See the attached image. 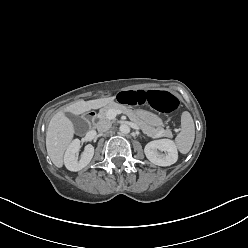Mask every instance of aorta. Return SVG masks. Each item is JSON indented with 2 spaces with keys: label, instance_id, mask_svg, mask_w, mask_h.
Here are the masks:
<instances>
[{
  "label": "aorta",
  "instance_id": "obj_1",
  "mask_svg": "<svg viewBox=\"0 0 248 248\" xmlns=\"http://www.w3.org/2000/svg\"><path fill=\"white\" fill-rule=\"evenodd\" d=\"M119 131L122 133V134H128L130 132V127L127 125V124H122L120 125L119 127Z\"/></svg>",
  "mask_w": 248,
  "mask_h": 248
}]
</instances>
